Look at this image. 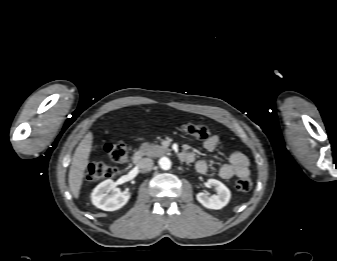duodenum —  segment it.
I'll list each match as a JSON object with an SVG mask.
<instances>
[{
    "label": "duodenum",
    "instance_id": "obj_1",
    "mask_svg": "<svg viewBox=\"0 0 337 261\" xmlns=\"http://www.w3.org/2000/svg\"><path fill=\"white\" fill-rule=\"evenodd\" d=\"M179 157L182 161L190 160V155L185 152L180 153ZM142 159H143V155L140 152H136L132 157V161L135 165H138L142 161Z\"/></svg>",
    "mask_w": 337,
    "mask_h": 261
}]
</instances>
